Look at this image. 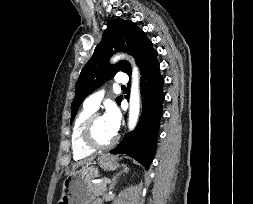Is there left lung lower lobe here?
Here are the masks:
<instances>
[{
  "mask_svg": "<svg viewBox=\"0 0 253 204\" xmlns=\"http://www.w3.org/2000/svg\"><path fill=\"white\" fill-rule=\"evenodd\" d=\"M140 86L143 101L141 119L136 129L127 134L117 147L110 153H125L149 168L154 158L159 121L162 116L164 100V80L160 75L157 51L150 48L140 67Z\"/></svg>",
  "mask_w": 253,
  "mask_h": 204,
  "instance_id": "left-lung-lower-lobe-1",
  "label": "left lung lower lobe"
}]
</instances>
